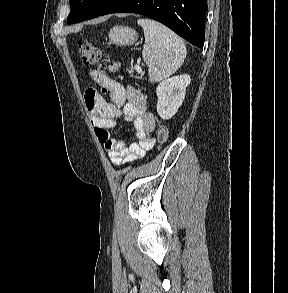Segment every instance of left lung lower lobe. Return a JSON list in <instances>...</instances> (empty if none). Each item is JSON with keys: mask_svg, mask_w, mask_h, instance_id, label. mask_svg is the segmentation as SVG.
Returning <instances> with one entry per match:
<instances>
[{"mask_svg": "<svg viewBox=\"0 0 288 293\" xmlns=\"http://www.w3.org/2000/svg\"><path fill=\"white\" fill-rule=\"evenodd\" d=\"M207 0H116L102 14L136 13L169 27L203 48Z\"/></svg>", "mask_w": 288, "mask_h": 293, "instance_id": "1", "label": "left lung lower lobe"}]
</instances>
